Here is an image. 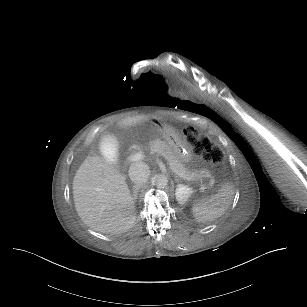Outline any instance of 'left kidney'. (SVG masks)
I'll return each mask as SVG.
<instances>
[{
    "instance_id": "obj_1",
    "label": "left kidney",
    "mask_w": 307,
    "mask_h": 307,
    "mask_svg": "<svg viewBox=\"0 0 307 307\" xmlns=\"http://www.w3.org/2000/svg\"><path fill=\"white\" fill-rule=\"evenodd\" d=\"M192 193H193L192 188L184 184L177 185V188L175 191L176 199L180 204H184L188 200V198L191 196Z\"/></svg>"
}]
</instances>
